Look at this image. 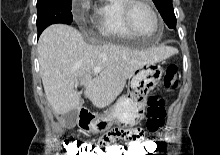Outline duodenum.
Instances as JSON below:
<instances>
[{
	"label": "duodenum",
	"mask_w": 220,
	"mask_h": 155,
	"mask_svg": "<svg viewBox=\"0 0 220 155\" xmlns=\"http://www.w3.org/2000/svg\"><path fill=\"white\" fill-rule=\"evenodd\" d=\"M93 120V114L86 108H81L78 113V124L80 126L88 125Z\"/></svg>",
	"instance_id": "obj_1"
}]
</instances>
